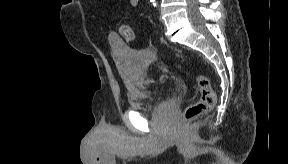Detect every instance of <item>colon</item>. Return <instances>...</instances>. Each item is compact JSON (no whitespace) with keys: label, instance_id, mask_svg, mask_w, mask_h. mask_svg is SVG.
<instances>
[{"label":"colon","instance_id":"colon-1","mask_svg":"<svg viewBox=\"0 0 288 164\" xmlns=\"http://www.w3.org/2000/svg\"><path fill=\"white\" fill-rule=\"evenodd\" d=\"M118 30L125 41H133L134 37L132 30L127 23L119 24ZM195 82L199 92V98L187 106L184 120H193V118L212 111L215 107L216 97L210 80L205 76L198 75Z\"/></svg>","mask_w":288,"mask_h":164}]
</instances>
